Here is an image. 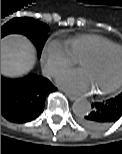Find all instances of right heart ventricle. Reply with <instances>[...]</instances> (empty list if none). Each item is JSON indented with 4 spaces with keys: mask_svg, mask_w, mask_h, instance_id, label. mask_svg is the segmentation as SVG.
Here are the masks:
<instances>
[{
    "mask_svg": "<svg viewBox=\"0 0 122 154\" xmlns=\"http://www.w3.org/2000/svg\"><path fill=\"white\" fill-rule=\"evenodd\" d=\"M65 43L75 61L108 46L116 45L110 39L96 34L78 35L67 39Z\"/></svg>",
    "mask_w": 122,
    "mask_h": 154,
    "instance_id": "1",
    "label": "right heart ventricle"
}]
</instances>
